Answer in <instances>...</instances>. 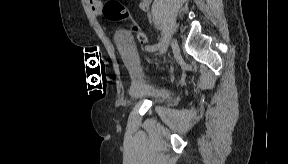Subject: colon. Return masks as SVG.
I'll return each instance as SVG.
<instances>
[{"label":"colon","mask_w":288,"mask_h":164,"mask_svg":"<svg viewBox=\"0 0 288 164\" xmlns=\"http://www.w3.org/2000/svg\"><path fill=\"white\" fill-rule=\"evenodd\" d=\"M105 16L112 21L124 20L129 21L131 19L130 12L126 6L117 0L109 1L104 6ZM133 32L135 33L137 40L141 43V46H146L148 43L147 35L141 31L137 26L132 27Z\"/></svg>","instance_id":"obj_1"}]
</instances>
